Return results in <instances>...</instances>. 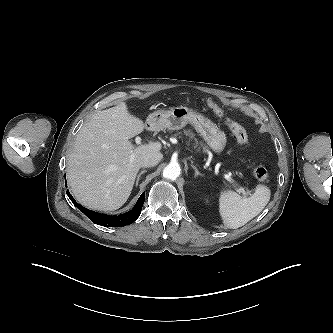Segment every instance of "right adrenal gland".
Wrapping results in <instances>:
<instances>
[{"label":"right adrenal gland","instance_id":"2a0ac1e0","mask_svg":"<svg viewBox=\"0 0 333 333\" xmlns=\"http://www.w3.org/2000/svg\"><path fill=\"white\" fill-rule=\"evenodd\" d=\"M146 171H147V170H142V171L138 174V176H137V180H136V187L138 186V183H139V180H140L141 175L144 174Z\"/></svg>","mask_w":333,"mask_h":333}]
</instances>
